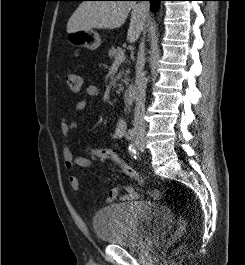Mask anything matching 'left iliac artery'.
I'll use <instances>...</instances> for the list:
<instances>
[{
	"mask_svg": "<svg viewBox=\"0 0 245 265\" xmlns=\"http://www.w3.org/2000/svg\"><path fill=\"white\" fill-rule=\"evenodd\" d=\"M128 149H129V152L131 153V155H132L134 158H136V156H137L138 153H137V150H136V148H135V144H134V143L129 144Z\"/></svg>",
	"mask_w": 245,
	"mask_h": 265,
	"instance_id": "left-iliac-artery-1",
	"label": "left iliac artery"
}]
</instances>
